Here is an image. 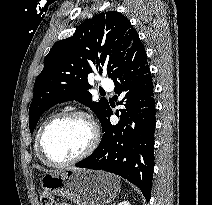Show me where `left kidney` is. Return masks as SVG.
<instances>
[{
    "mask_svg": "<svg viewBox=\"0 0 212 205\" xmlns=\"http://www.w3.org/2000/svg\"><path fill=\"white\" fill-rule=\"evenodd\" d=\"M118 205H130V203L128 201H122Z\"/></svg>",
    "mask_w": 212,
    "mask_h": 205,
    "instance_id": "5707ae66",
    "label": "left kidney"
}]
</instances>
